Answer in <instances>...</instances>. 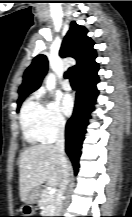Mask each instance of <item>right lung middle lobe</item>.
I'll list each match as a JSON object with an SVG mask.
<instances>
[{"label":"right lung middle lobe","mask_w":132,"mask_h":217,"mask_svg":"<svg viewBox=\"0 0 132 217\" xmlns=\"http://www.w3.org/2000/svg\"><path fill=\"white\" fill-rule=\"evenodd\" d=\"M24 100V98L23 99H19L18 100V106H20L21 105V103H22V101Z\"/></svg>","instance_id":"right-lung-middle-lobe-1"}]
</instances>
